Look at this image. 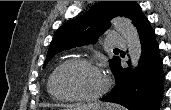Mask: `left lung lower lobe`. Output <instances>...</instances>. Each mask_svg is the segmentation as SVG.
Segmentation results:
<instances>
[{
  "label": "left lung lower lobe",
  "mask_w": 171,
  "mask_h": 110,
  "mask_svg": "<svg viewBox=\"0 0 171 110\" xmlns=\"http://www.w3.org/2000/svg\"><path fill=\"white\" fill-rule=\"evenodd\" d=\"M137 30L142 46L138 69L123 68L119 62L114 72L116 86L102 100L121 104L129 110H158L164 91L159 46L146 17Z\"/></svg>",
  "instance_id": "obj_1"
}]
</instances>
